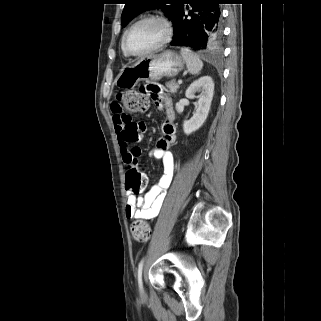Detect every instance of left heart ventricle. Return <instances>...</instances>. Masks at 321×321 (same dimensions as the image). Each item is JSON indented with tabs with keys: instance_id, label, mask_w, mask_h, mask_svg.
<instances>
[{
	"instance_id": "1",
	"label": "left heart ventricle",
	"mask_w": 321,
	"mask_h": 321,
	"mask_svg": "<svg viewBox=\"0 0 321 321\" xmlns=\"http://www.w3.org/2000/svg\"><path fill=\"white\" fill-rule=\"evenodd\" d=\"M163 36L162 26L156 21H145L128 34L126 44L132 53H139L154 46Z\"/></svg>"
}]
</instances>
